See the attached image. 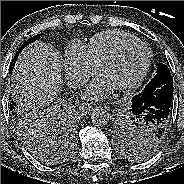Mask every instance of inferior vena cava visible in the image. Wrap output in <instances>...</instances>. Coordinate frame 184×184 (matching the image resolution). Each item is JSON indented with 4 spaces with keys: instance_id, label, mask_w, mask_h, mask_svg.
Here are the masks:
<instances>
[{
    "instance_id": "1",
    "label": "inferior vena cava",
    "mask_w": 184,
    "mask_h": 184,
    "mask_svg": "<svg viewBox=\"0 0 184 184\" xmlns=\"http://www.w3.org/2000/svg\"><path fill=\"white\" fill-rule=\"evenodd\" d=\"M87 79L84 76H76L74 77L70 83L71 85H73L74 87H78L80 85H83L84 83H86Z\"/></svg>"
}]
</instances>
